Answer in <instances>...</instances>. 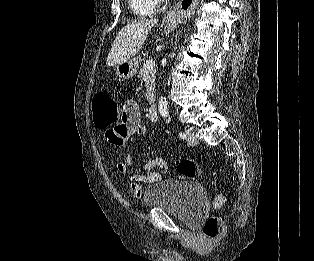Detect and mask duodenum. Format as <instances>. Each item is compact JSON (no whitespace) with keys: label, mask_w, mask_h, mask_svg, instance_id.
<instances>
[{"label":"duodenum","mask_w":314,"mask_h":261,"mask_svg":"<svg viewBox=\"0 0 314 261\" xmlns=\"http://www.w3.org/2000/svg\"><path fill=\"white\" fill-rule=\"evenodd\" d=\"M148 117L153 122H156L158 120L157 107L153 104H151L148 108Z\"/></svg>","instance_id":"1"}]
</instances>
